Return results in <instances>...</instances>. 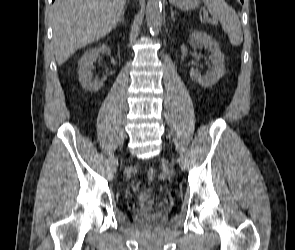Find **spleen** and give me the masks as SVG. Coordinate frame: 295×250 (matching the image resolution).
Masks as SVG:
<instances>
[{
	"label": "spleen",
	"mask_w": 295,
	"mask_h": 250,
	"mask_svg": "<svg viewBox=\"0 0 295 250\" xmlns=\"http://www.w3.org/2000/svg\"><path fill=\"white\" fill-rule=\"evenodd\" d=\"M203 2L213 19L221 23L230 43L233 46L240 45L243 41V33L235 10L224 0H203Z\"/></svg>",
	"instance_id": "1"
}]
</instances>
